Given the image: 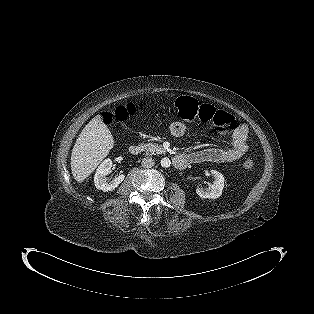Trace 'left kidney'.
<instances>
[{"label": "left kidney", "mask_w": 314, "mask_h": 314, "mask_svg": "<svg viewBox=\"0 0 314 314\" xmlns=\"http://www.w3.org/2000/svg\"><path fill=\"white\" fill-rule=\"evenodd\" d=\"M211 175L214 177V181L211 187L206 190L199 187L196 189V193L201 198L216 199L219 198L222 194L225 182L223 174L216 170H211Z\"/></svg>", "instance_id": "obj_1"}]
</instances>
